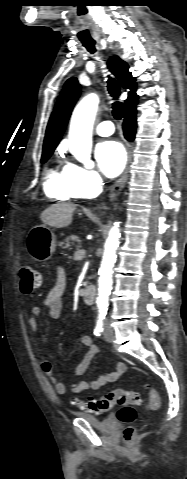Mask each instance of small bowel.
Masks as SVG:
<instances>
[{
    "mask_svg": "<svg viewBox=\"0 0 187 479\" xmlns=\"http://www.w3.org/2000/svg\"><path fill=\"white\" fill-rule=\"evenodd\" d=\"M65 286V273L62 269H59L56 282L44 299V305L48 310V314L53 319H57L61 315ZM40 314V306H33L31 308L28 324L34 335H36L39 330ZM80 343L86 349V353L81 362L76 366L75 370L70 375L73 378L81 376L87 370L92 359L99 351L97 345L87 334L80 335ZM37 344L42 346V342L40 340L37 341ZM42 366L46 374L49 376V382L52 388L59 395H65L68 392L77 394L88 389L97 390L108 383L116 381L127 369L125 364L118 363L115 370L103 374L96 379L91 381L83 380L78 383L66 385L59 378L52 374V364L49 360H44Z\"/></svg>",
    "mask_w": 187,
    "mask_h": 479,
    "instance_id": "c3829d8e",
    "label": "small bowel"
}]
</instances>
